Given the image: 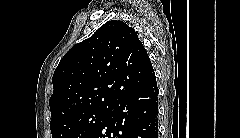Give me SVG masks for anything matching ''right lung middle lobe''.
Instances as JSON below:
<instances>
[{"label": "right lung middle lobe", "mask_w": 240, "mask_h": 138, "mask_svg": "<svg viewBox=\"0 0 240 138\" xmlns=\"http://www.w3.org/2000/svg\"><path fill=\"white\" fill-rule=\"evenodd\" d=\"M108 108H91L50 123L52 138H92Z\"/></svg>", "instance_id": "1"}]
</instances>
